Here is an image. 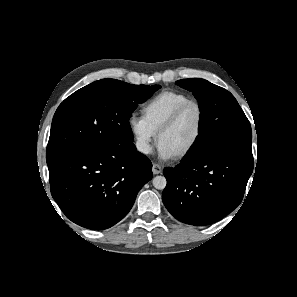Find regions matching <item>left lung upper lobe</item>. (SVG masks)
<instances>
[{"mask_svg": "<svg viewBox=\"0 0 297 297\" xmlns=\"http://www.w3.org/2000/svg\"><path fill=\"white\" fill-rule=\"evenodd\" d=\"M176 84L193 92L201 112L199 136L185 158L226 152L253 160L250 122L230 92L200 78Z\"/></svg>", "mask_w": 297, "mask_h": 297, "instance_id": "left-lung-upper-lobe-1", "label": "left lung upper lobe"}]
</instances>
